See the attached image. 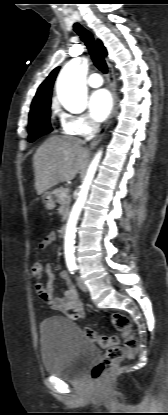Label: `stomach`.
<instances>
[{"label": "stomach", "mask_w": 168, "mask_h": 415, "mask_svg": "<svg viewBox=\"0 0 168 415\" xmlns=\"http://www.w3.org/2000/svg\"><path fill=\"white\" fill-rule=\"evenodd\" d=\"M42 202L47 210H52L55 207V201L50 192H45L42 195Z\"/></svg>", "instance_id": "stomach-1"}]
</instances>
